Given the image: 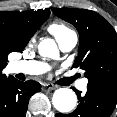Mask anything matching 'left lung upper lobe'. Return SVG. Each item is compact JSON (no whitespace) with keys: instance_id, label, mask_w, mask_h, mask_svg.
<instances>
[{"instance_id":"1","label":"left lung upper lobe","mask_w":117,"mask_h":117,"mask_svg":"<svg viewBox=\"0 0 117 117\" xmlns=\"http://www.w3.org/2000/svg\"><path fill=\"white\" fill-rule=\"evenodd\" d=\"M52 11L79 32L78 57L73 66L85 71L87 87L117 92V33L114 28L91 10L55 8Z\"/></svg>"}]
</instances>
